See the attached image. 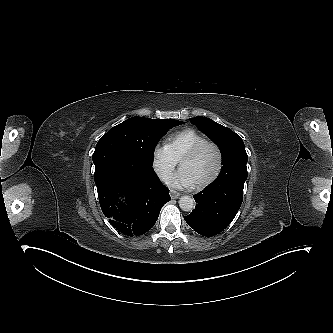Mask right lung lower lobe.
Wrapping results in <instances>:
<instances>
[{"instance_id": "obj_1", "label": "right lung lower lobe", "mask_w": 333, "mask_h": 333, "mask_svg": "<svg viewBox=\"0 0 333 333\" xmlns=\"http://www.w3.org/2000/svg\"><path fill=\"white\" fill-rule=\"evenodd\" d=\"M92 159L100 206L110 224L128 236L150 230L163 205L171 200L152 167L113 137L103 136L98 141ZM121 194L124 204L118 200Z\"/></svg>"}]
</instances>
